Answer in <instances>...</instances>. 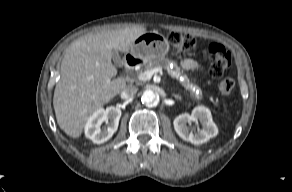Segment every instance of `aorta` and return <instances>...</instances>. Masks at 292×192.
Masks as SVG:
<instances>
[{"label":"aorta","instance_id":"aorta-1","mask_svg":"<svg viewBox=\"0 0 292 192\" xmlns=\"http://www.w3.org/2000/svg\"><path fill=\"white\" fill-rule=\"evenodd\" d=\"M141 101L147 107H155L159 103V96L152 90H145L141 96Z\"/></svg>","mask_w":292,"mask_h":192}]
</instances>
